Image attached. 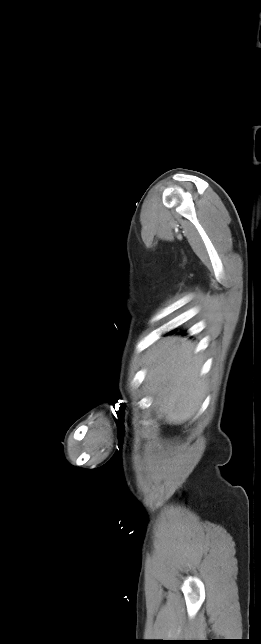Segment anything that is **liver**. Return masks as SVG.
<instances>
[{"mask_svg":"<svg viewBox=\"0 0 261 644\" xmlns=\"http://www.w3.org/2000/svg\"><path fill=\"white\" fill-rule=\"evenodd\" d=\"M145 367L147 393L165 422L180 425L190 420L206 391L202 357L194 345L179 338L162 339L148 352Z\"/></svg>","mask_w":261,"mask_h":644,"instance_id":"liver-1","label":"liver"}]
</instances>
